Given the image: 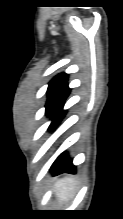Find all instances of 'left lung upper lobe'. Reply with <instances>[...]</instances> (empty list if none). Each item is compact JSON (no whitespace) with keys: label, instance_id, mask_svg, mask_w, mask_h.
I'll return each instance as SVG.
<instances>
[{"label":"left lung upper lobe","instance_id":"left-lung-upper-lobe-1","mask_svg":"<svg viewBox=\"0 0 123 219\" xmlns=\"http://www.w3.org/2000/svg\"><path fill=\"white\" fill-rule=\"evenodd\" d=\"M68 75L61 73L55 76L50 82L47 89L48 100L45 105L46 114L48 116L52 115L67 98L70 89L67 85Z\"/></svg>","mask_w":123,"mask_h":219}]
</instances>
